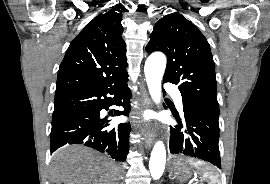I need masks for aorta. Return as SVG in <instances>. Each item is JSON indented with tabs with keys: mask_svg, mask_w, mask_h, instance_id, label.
Segmentation results:
<instances>
[{
	"mask_svg": "<svg viewBox=\"0 0 270 184\" xmlns=\"http://www.w3.org/2000/svg\"><path fill=\"white\" fill-rule=\"evenodd\" d=\"M166 67V57L161 52L151 54L144 67L149 93L155 103L161 100V81ZM166 149L162 141L155 143L149 161V170L153 179H159L165 169Z\"/></svg>",
	"mask_w": 270,
	"mask_h": 184,
	"instance_id": "762f6f07",
	"label": "aorta"
}]
</instances>
